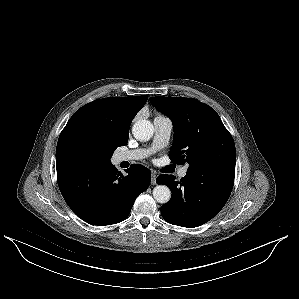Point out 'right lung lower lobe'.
Instances as JSON below:
<instances>
[{"mask_svg": "<svg viewBox=\"0 0 299 299\" xmlns=\"http://www.w3.org/2000/svg\"><path fill=\"white\" fill-rule=\"evenodd\" d=\"M56 169L68 206L82 220L98 226L125 220L135 199L151 182L150 171L139 164L127 169L125 176L111 163L61 161Z\"/></svg>", "mask_w": 299, "mask_h": 299, "instance_id": "obj_1", "label": "right lung lower lobe"}]
</instances>
